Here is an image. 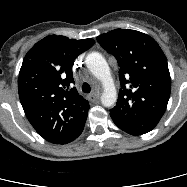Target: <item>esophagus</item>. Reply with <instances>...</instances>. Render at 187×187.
Listing matches in <instances>:
<instances>
[{
    "label": "esophagus",
    "instance_id": "34e87169",
    "mask_svg": "<svg viewBox=\"0 0 187 187\" xmlns=\"http://www.w3.org/2000/svg\"><path fill=\"white\" fill-rule=\"evenodd\" d=\"M99 97H100V93H99V92H92V93L88 96L89 100L92 101V102L98 100Z\"/></svg>",
    "mask_w": 187,
    "mask_h": 187
}]
</instances>
